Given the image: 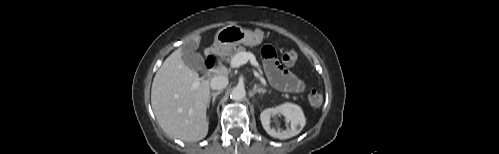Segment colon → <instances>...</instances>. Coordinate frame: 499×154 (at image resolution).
Returning <instances> with one entry per match:
<instances>
[{"label":"colon","mask_w":499,"mask_h":154,"mask_svg":"<svg viewBox=\"0 0 499 154\" xmlns=\"http://www.w3.org/2000/svg\"><path fill=\"white\" fill-rule=\"evenodd\" d=\"M298 59L299 52L293 47L286 48L282 53V60L286 65L292 66L298 61ZM308 98L310 104L315 107L321 105L323 101L322 94L317 90H311Z\"/></svg>","instance_id":"1"}]
</instances>
